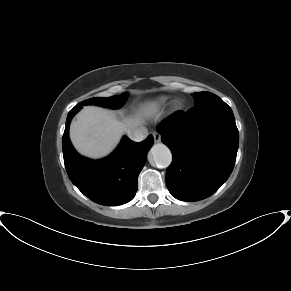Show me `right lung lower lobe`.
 I'll return each instance as SVG.
<instances>
[{"label":"right lung lower lobe","mask_w":291,"mask_h":291,"mask_svg":"<svg viewBox=\"0 0 291 291\" xmlns=\"http://www.w3.org/2000/svg\"><path fill=\"white\" fill-rule=\"evenodd\" d=\"M82 107L75 106L67 116L62 138L64 163L72 183L95 203L116 206L133 199L138 176L154 143L152 135L136 143L123 137L117 149L107 158L90 160L80 156L69 139V124Z\"/></svg>","instance_id":"obj_1"}]
</instances>
